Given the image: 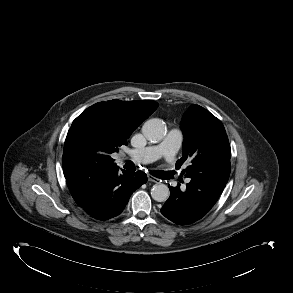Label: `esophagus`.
I'll use <instances>...</instances> for the list:
<instances>
[{"mask_svg": "<svg viewBox=\"0 0 293 293\" xmlns=\"http://www.w3.org/2000/svg\"><path fill=\"white\" fill-rule=\"evenodd\" d=\"M148 180L151 181V182H154V183H160L161 180L156 178V177H153L151 175H148Z\"/></svg>", "mask_w": 293, "mask_h": 293, "instance_id": "1", "label": "esophagus"}]
</instances>
